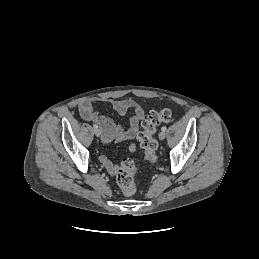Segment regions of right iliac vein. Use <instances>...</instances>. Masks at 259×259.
I'll list each match as a JSON object with an SVG mask.
<instances>
[{"label": "right iliac vein", "mask_w": 259, "mask_h": 259, "mask_svg": "<svg viewBox=\"0 0 259 259\" xmlns=\"http://www.w3.org/2000/svg\"><path fill=\"white\" fill-rule=\"evenodd\" d=\"M94 133L97 137H99L101 135V130L97 128L94 130Z\"/></svg>", "instance_id": "63e3f726"}]
</instances>
